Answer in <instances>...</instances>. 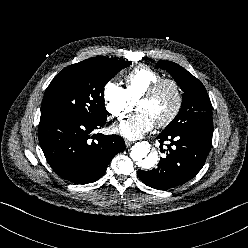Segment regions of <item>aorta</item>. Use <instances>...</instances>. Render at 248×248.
Masks as SVG:
<instances>
[{
	"mask_svg": "<svg viewBox=\"0 0 248 248\" xmlns=\"http://www.w3.org/2000/svg\"><path fill=\"white\" fill-rule=\"evenodd\" d=\"M130 157L144 169L153 168L159 159L157 151H152L151 144L147 141L135 143L131 148Z\"/></svg>",
	"mask_w": 248,
	"mask_h": 248,
	"instance_id": "obj_1",
	"label": "aorta"
}]
</instances>
